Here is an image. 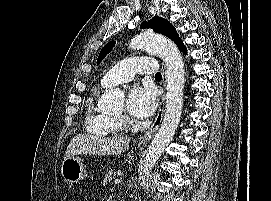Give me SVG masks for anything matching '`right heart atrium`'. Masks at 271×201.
Here are the masks:
<instances>
[{
	"label": "right heart atrium",
	"instance_id": "obj_1",
	"mask_svg": "<svg viewBox=\"0 0 271 201\" xmlns=\"http://www.w3.org/2000/svg\"><path fill=\"white\" fill-rule=\"evenodd\" d=\"M119 119H120V121L122 122L123 125L129 123V119L127 117H121Z\"/></svg>",
	"mask_w": 271,
	"mask_h": 201
}]
</instances>
